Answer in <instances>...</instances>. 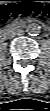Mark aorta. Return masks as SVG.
Masks as SVG:
<instances>
[{"mask_svg": "<svg viewBox=\"0 0 50 111\" xmlns=\"http://www.w3.org/2000/svg\"><path fill=\"white\" fill-rule=\"evenodd\" d=\"M41 31V27L36 23H31L27 26V32L29 35H38Z\"/></svg>", "mask_w": 50, "mask_h": 111, "instance_id": "1", "label": "aorta"}]
</instances>
